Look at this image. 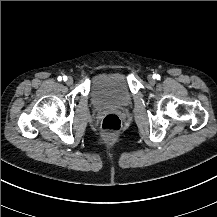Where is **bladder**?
I'll return each instance as SVG.
<instances>
[{
	"label": "bladder",
	"mask_w": 217,
	"mask_h": 217,
	"mask_svg": "<svg viewBox=\"0 0 217 217\" xmlns=\"http://www.w3.org/2000/svg\"><path fill=\"white\" fill-rule=\"evenodd\" d=\"M94 99L103 105L125 107L130 104L128 85L121 76H106L93 82Z\"/></svg>",
	"instance_id": "31cf9c89"
}]
</instances>
